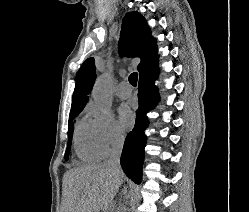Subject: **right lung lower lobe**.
<instances>
[{"instance_id":"obj_1","label":"right lung lower lobe","mask_w":249,"mask_h":212,"mask_svg":"<svg viewBox=\"0 0 249 212\" xmlns=\"http://www.w3.org/2000/svg\"><path fill=\"white\" fill-rule=\"evenodd\" d=\"M157 60L139 74L138 99L135 126L128 133L122 155L121 166L125 174L136 184L141 182L144 147L146 144L145 128L148 126L146 114L155 106L156 87L154 80L158 76Z\"/></svg>"}]
</instances>
